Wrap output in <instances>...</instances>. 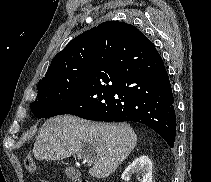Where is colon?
Here are the masks:
<instances>
[{"label":"colon","instance_id":"colon-1","mask_svg":"<svg viewBox=\"0 0 211 182\" xmlns=\"http://www.w3.org/2000/svg\"><path fill=\"white\" fill-rule=\"evenodd\" d=\"M25 165H26L27 170L30 171V172H34L36 170V167H37L36 161L31 155L26 157ZM77 182H88V181L81 180V181H77Z\"/></svg>","mask_w":211,"mask_h":182}]
</instances>
